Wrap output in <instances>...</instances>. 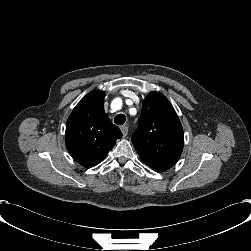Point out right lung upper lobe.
<instances>
[{"mask_svg": "<svg viewBox=\"0 0 251 251\" xmlns=\"http://www.w3.org/2000/svg\"><path fill=\"white\" fill-rule=\"evenodd\" d=\"M105 93H88L73 109L66 123L65 142L72 158L86 168L99 164L122 137L104 112Z\"/></svg>", "mask_w": 251, "mask_h": 251, "instance_id": "obj_1", "label": "right lung upper lobe"}]
</instances>
